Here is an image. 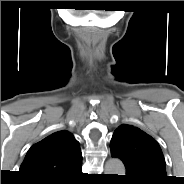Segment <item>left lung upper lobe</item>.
Returning <instances> with one entry per match:
<instances>
[{
    "label": "left lung upper lobe",
    "instance_id": "5c2ea615",
    "mask_svg": "<svg viewBox=\"0 0 184 184\" xmlns=\"http://www.w3.org/2000/svg\"><path fill=\"white\" fill-rule=\"evenodd\" d=\"M111 154L120 158L126 176L144 184H164L168 180L165 159L157 141L139 128L122 124L110 142Z\"/></svg>",
    "mask_w": 184,
    "mask_h": 184
}]
</instances>
